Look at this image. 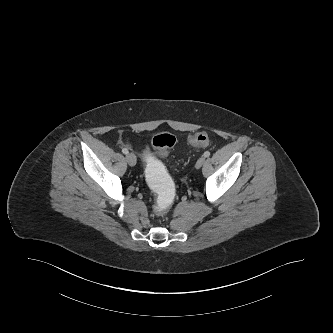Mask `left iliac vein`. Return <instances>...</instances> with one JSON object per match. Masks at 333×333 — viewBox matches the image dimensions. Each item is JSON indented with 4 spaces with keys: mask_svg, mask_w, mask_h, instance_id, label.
<instances>
[{
    "mask_svg": "<svg viewBox=\"0 0 333 333\" xmlns=\"http://www.w3.org/2000/svg\"><path fill=\"white\" fill-rule=\"evenodd\" d=\"M204 162H205V158H204V157L199 158V159L197 160V162H196V165H195L196 168H197V169L201 168L202 165L204 164Z\"/></svg>",
    "mask_w": 333,
    "mask_h": 333,
    "instance_id": "obj_1",
    "label": "left iliac vein"
}]
</instances>
